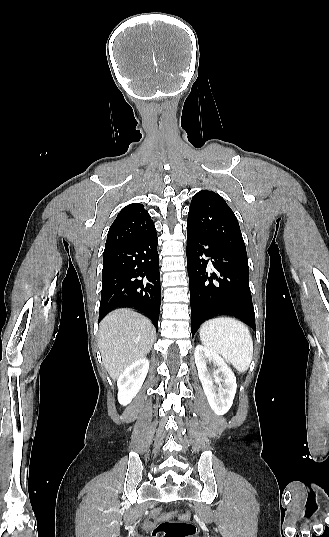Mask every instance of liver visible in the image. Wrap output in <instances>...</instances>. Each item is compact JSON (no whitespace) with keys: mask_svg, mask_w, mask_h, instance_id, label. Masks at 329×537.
Returning a JSON list of instances; mask_svg holds the SVG:
<instances>
[{"mask_svg":"<svg viewBox=\"0 0 329 537\" xmlns=\"http://www.w3.org/2000/svg\"><path fill=\"white\" fill-rule=\"evenodd\" d=\"M150 320L131 309H117L100 323L98 345L104 366L116 380L132 363L145 357L155 339Z\"/></svg>","mask_w":329,"mask_h":537,"instance_id":"6515ba94","label":"liver"}]
</instances>
